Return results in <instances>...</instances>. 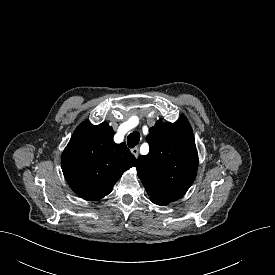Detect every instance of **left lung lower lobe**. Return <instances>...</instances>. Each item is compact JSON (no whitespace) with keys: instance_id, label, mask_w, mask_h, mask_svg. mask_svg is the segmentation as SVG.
Returning <instances> with one entry per match:
<instances>
[{"instance_id":"left-lung-lower-lobe-1","label":"left lung lower lobe","mask_w":275,"mask_h":275,"mask_svg":"<svg viewBox=\"0 0 275 275\" xmlns=\"http://www.w3.org/2000/svg\"><path fill=\"white\" fill-rule=\"evenodd\" d=\"M156 204H158V205H160V206L166 205V204H162V203H156Z\"/></svg>"}]
</instances>
